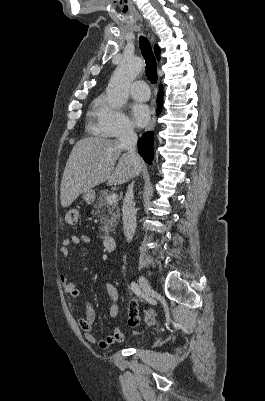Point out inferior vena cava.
Returning <instances> with one entry per match:
<instances>
[{
	"label": "inferior vena cava",
	"mask_w": 265,
	"mask_h": 401,
	"mask_svg": "<svg viewBox=\"0 0 265 401\" xmlns=\"http://www.w3.org/2000/svg\"><path fill=\"white\" fill-rule=\"evenodd\" d=\"M119 142L125 150H128V156L132 160L133 166H138L139 156L136 152L137 134L134 132L132 124H123V130L119 134ZM137 172L134 170L133 176ZM123 231L127 241H132L136 229V211L133 207V182L128 184V190L125 194L122 207Z\"/></svg>",
	"instance_id": "1"
}]
</instances>
